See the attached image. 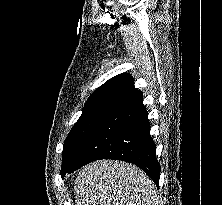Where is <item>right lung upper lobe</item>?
Masks as SVG:
<instances>
[{
    "label": "right lung upper lobe",
    "mask_w": 222,
    "mask_h": 205,
    "mask_svg": "<svg viewBox=\"0 0 222 205\" xmlns=\"http://www.w3.org/2000/svg\"><path fill=\"white\" fill-rule=\"evenodd\" d=\"M139 91L129 74H119L99 87L87 100L83 113L110 111L122 101Z\"/></svg>",
    "instance_id": "right-lung-upper-lobe-1"
}]
</instances>
